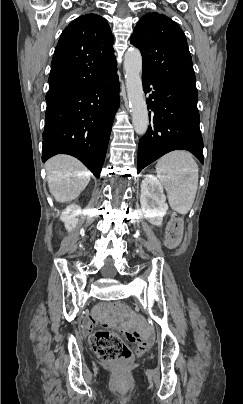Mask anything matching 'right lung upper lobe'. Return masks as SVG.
Masks as SVG:
<instances>
[{
	"mask_svg": "<svg viewBox=\"0 0 243 404\" xmlns=\"http://www.w3.org/2000/svg\"><path fill=\"white\" fill-rule=\"evenodd\" d=\"M114 38L107 21L86 14L72 21L55 48L46 99L86 87L116 71Z\"/></svg>",
	"mask_w": 243,
	"mask_h": 404,
	"instance_id": "cb5924a9",
	"label": "right lung upper lobe"
}]
</instances>
